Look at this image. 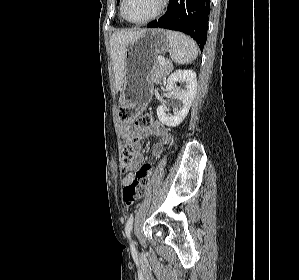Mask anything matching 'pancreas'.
<instances>
[{
  "label": "pancreas",
  "instance_id": "cf45deb5",
  "mask_svg": "<svg viewBox=\"0 0 299 280\" xmlns=\"http://www.w3.org/2000/svg\"><path fill=\"white\" fill-rule=\"evenodd\" d=\"M170 72V65L165 63L161 65L159 60H157L152 68L151 80L155 84L161 83V80Z\"/></svg>",
  "mask_w": 299,
  "mask_h": 280
}]
</instances>
